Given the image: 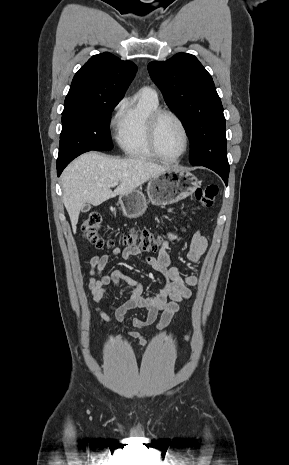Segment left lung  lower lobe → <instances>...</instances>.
<instances>
[{
  "label": "left lung lower lobe",
  "mask_w": 289,
  "mask_h": 465,
  "mask_svg": "<svg viewBox=\"0 0 289 465\" xmlns=\"http://www.w3.org/2000/svg\"><path fill=\"white\" fill-rule=\"evenodd\" d=\"M200 166H204V167H207L213 171H215L222 179L223 181L225 182V184L227 185L228 184V176H229V168L228 169H224V168H220V167H216V166H211V165H200Z\"/></svg>",
  "instance_id": "left-lung-lower-lobe-1"
}]
</instances>
